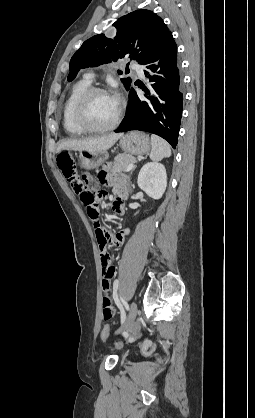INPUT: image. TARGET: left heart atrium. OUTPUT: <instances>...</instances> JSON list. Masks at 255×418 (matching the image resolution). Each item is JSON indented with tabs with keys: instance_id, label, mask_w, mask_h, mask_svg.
I'll use <instances>...</instances> for the list:
<instances>
[{
	"instance_id": "1",
	"label": "left heart atrium",
	"mask_w": 255,
	"mask_h": 418,
	"mask_svg": "<svg viewBox=\"0 0 255 418\" xmlns=\"http://www.w3.org/2000/svg\"><path fill=\"white\" fill-rule=\"evenodd\" d=\"M110 97H111L112 101L114 102V104L117 107H119V104H120V98H119V96L117 94H114V95H112Z\"/></svg>"
}]
</instances>
